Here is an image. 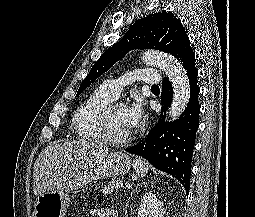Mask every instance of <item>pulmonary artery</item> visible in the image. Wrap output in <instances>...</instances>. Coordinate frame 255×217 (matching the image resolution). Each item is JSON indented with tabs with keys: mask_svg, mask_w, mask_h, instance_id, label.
<instances>
[{
	"mask_svg": "<svg viewBox=\"0 0 255 217\" xmlns=\"http://www.w3.org/2000/svg\"><path fill=\"white\" fill-rule=\"evenodd\" d=\"M134 78L150 85H157L160 81L159 76L150 69H141L135 72ZM129 82L127 77H116L108 79L103 83V87L114 98L118 97L123 86Z\"/></svg>",
	"mask_w": 255,
	"mask_h": 217,
	"instance_id": "1",
	"label": "pulmonary artery"
}]
</instances>
